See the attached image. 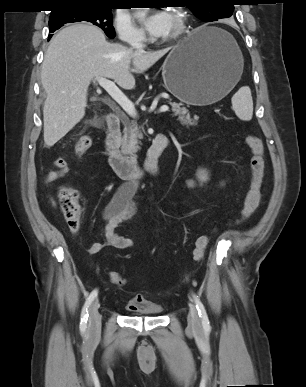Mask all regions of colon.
<instances>
[{
	"label": "colon",
	"mask_w": 306,
	"mask_h": 387,
	"mask_svg": "<svg viewBox=\"0 0 306 387\" xmlns=\"http://www.w3.org/2000/svg\"><path fill=\"white\" fill-rule=\"evenodd\" d=\"M246 143L252 153L250 159L251 183L237 223L248 220L258 208L265 177L264 145L262 140L254 135H248ZM92 144L93 139L91 136H82L75 145V153L79 156L83 155L91 148ZM58 201L60 210L69 228L73 232L78 231L81 224V206L79 204L78 192L71 187H62L58 191ZM209 242L210 237L207 235L200 236L196 240L193 251V258L196 262H200L203 259ZM108 279L117 286H124L127 283L126 278L117 272H109Z\"/></svg>",
	"instance_id": "5ec220e1"
}]
</instances>
